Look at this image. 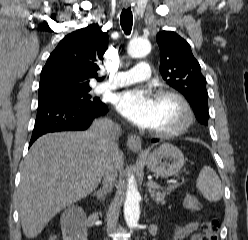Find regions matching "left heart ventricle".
<instances>
[{"mask_svg":"<svg viewBox=\"0 0 248 240\" xmlns=\"http://www.w3.org/2000/svg\"><path fill=\"white\" fill-rule=\"evenodd\" d=\"M157 104V122L153 129H167L179 123L182 118V109L180 104L171 97L156 99Z\"/></svg>","mask_w":248,"mask_h":240,"instance_id":"1","label":"left heart ventricle"}]
</instances>
